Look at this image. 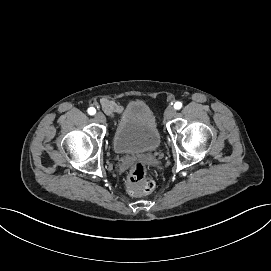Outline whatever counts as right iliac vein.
<instances>
[{"label":"right iliac vein","instance_id":"63e3f726","mask_svg":"<svg viewBox=\"0 0 271 271\" xmlns=\"http://www.w3.org/2000/svg\"><path fill=\"white\" fill-rule=\"evenodd\" d=\"M94 119L97 121V122H100V123H105L106 122V117L103 113L101 112H98L95 114L94 116Z\"/></svg>","mask_w":271,"mask_h":271}]
</instances>
